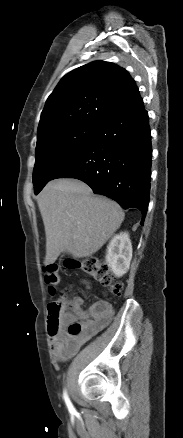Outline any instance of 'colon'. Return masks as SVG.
<instances>
[{
    "label": "colon",
    "mask_w": 183,
    "mask_h": 438,
    "mask_svg": "<svg viewBox=\"0 0 183 438\" xmlns=\"http://www.w3.org/2000/svg\"><path fill=\"white\" fill-rule=\"evenodd\" d=\"M65 266L69 269H80L91 275L112 294H119L121 291L122 285L114 278L109 267L95 257L71 258L65 261ZM45 282L48 285L50 294H54L59 284L56 265H48L45 268ZM78 304V299L70 298L65 294H62L58 300L48 303V330L50 334H55L59 330L63 319L69 314H74L75 317L68 323L67 333L72 337L81 334L83 331V325L79 321L81 313L75 311Z\"/></svg>",
    "instance_id": "1"
}]
</instances>
